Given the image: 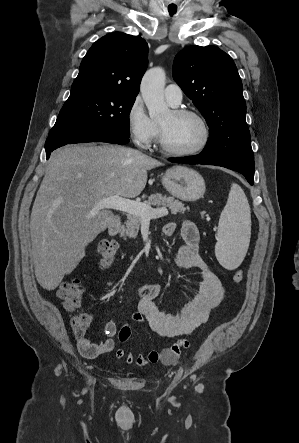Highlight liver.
<instances>
[{
  "label": "liver",
  "instance_id": "liver-1",
  "mask_svg": "<svg viewBox=\"0 0 299 443\" xmlns=\"http://www.w3.org/2000/svg\"><path fill=\"white\" fill-rule=\"evenodd\" d=\"M161 162L138 150L113 145H73L51 154L37 192L30 233L35 276L54 290L85 256L86 246L114 221L100 200L134 198L147 171Z\"/></svg>",
  "mask_w": 299,
  "mask_h": 443
}]
</instances>
